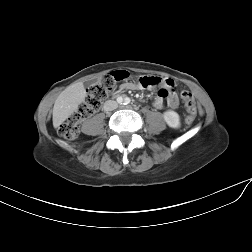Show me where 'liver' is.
Wrapping results in <instances>:
<instances>
[{"label":"liver","mask_w":252,"mask_h":252,"mask_svg":"<svg viewBox=\"0 0 252 252\" xmlns=\"http://www.w3.org/2000/svg\"><path fill=\"white\" fill-rule=\"evenodd\" d=\"M86 91L82 82L68 86L57 97L53 107V126L59 127L85 100Z\"/></svg>","instance_id":"6515ba94"}]
</instances>
